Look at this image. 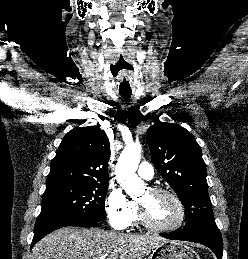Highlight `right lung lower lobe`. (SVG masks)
Masks as SVG:
<instances>
[{
	"label": "right lung lower lobe",
	"instance_id": "obj_1",
	"mask_svg": "<svg viewBox=\"0 0 248 259\" xmlns=\"http://www.w3.org/2000/svg\"><path fill=\"white\" fill-rule=\"evenodd\" d=\"M99 222L86 223L76 219L61 217V216H45L38 217L35 229L34 237L31 247L34 246L40 239L46 236L48 233L66 226H80V227H97Z\"/></svg>",
	"mask_w": 248,
	"mask_h": 259
}]
</instances>
